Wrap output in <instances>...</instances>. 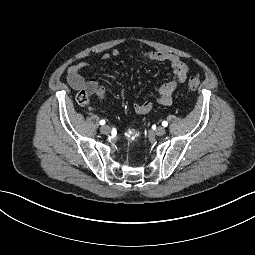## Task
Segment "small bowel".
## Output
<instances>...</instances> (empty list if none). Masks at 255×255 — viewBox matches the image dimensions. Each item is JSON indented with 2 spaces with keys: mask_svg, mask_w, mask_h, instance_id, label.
<instances>
[{
  "mask_svg": "<svg viewBox=\"0 0 255 255\" xmlns=\"http://www.w3.org/2000/svg\"><path fill=\"white\" fill-rule=\"evenodd\" d=\"M119 54L120 51L118 49H113L110 53L104 54L102 59L108 60L110 57L119 56ZM138 58L142 60L168 63L172 69V78L159 87L158 93L155 97L144 102L134 104V111L137 114H145L153 108L155 103L162 105L171 104L174 91L187 79L189 69L186 63L178 55L163 51L141 53L138 55ZM89 65V62L81 61L70 66L67 71V82L74 90H80L83 87H87L99 99H104L106 96L104 87L99 85L94 79L86 81L81 74V71Z\"/></svg>",
  "mask_w": 255,
  "mask_h": 255,
  "instance_id": "c3829d8e",
  "label": "small bowel"
}]
</instances>
